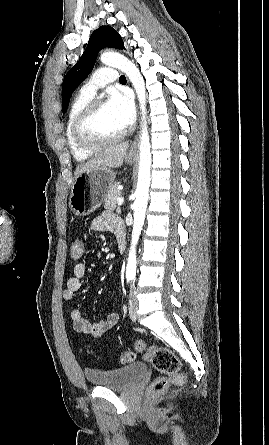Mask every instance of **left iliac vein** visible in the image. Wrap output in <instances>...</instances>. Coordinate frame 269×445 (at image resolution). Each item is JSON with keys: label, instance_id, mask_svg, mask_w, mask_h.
Segmentation results:
<instances>
[{"label": "left iliac vein", "instance_id": "left-iliac-vein-1", "mask_svg": "<svg viewBox=\"0 0 269 445\" xmlns=\"http://www.w3.org/2000/svg\"><path fill=\"white\" fill-rule=\"evenodd\" d=\"M129 316L131 320L135 321L137 318V310H138V300L136 298V291L135 287L131 289L130 295H129Z\"/></svg>", "mask_w": 269, "mask_h": 445}]
</instances>
